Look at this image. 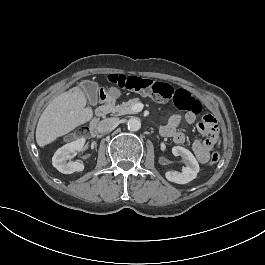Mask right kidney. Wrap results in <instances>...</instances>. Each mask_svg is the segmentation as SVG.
<instances>
[{"label": "right kidney", "instance_id": "1", "mask_svg": "<svg viewBox=\"0 0 265 265\" xmlns=\"http://www.w3.org/2000/svg\"><path fill=\"white\" fill-rule=\"evenodd\" d=\"M85 141V138H80L59 148L52 157V165L63 174H72L74 172L83 171V163L78 161L67 162V160L71 159L72 153L82 150Z\"/></svg>", "mask_w": 265, "mask_h": 265}]
</instances>
